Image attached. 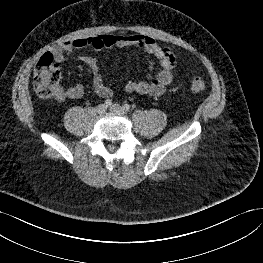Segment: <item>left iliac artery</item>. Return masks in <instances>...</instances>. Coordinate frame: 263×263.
Listing matches in <instances>:
<instances>
[{
  "label": "left iliac artery",
  "mask_w": 263,
  "mask_h": 263,
  "mask_svg": "<svg viewBox=\"0 0 263 263\" xmlns=\"http://www.w3.org/2000/svg\"><path fill=\"white\" fill-rule=\"evenodd\" d=\"M123 109L125 111H129L130 110V105L129 104H124Z\"/></svg>",
  "instance_id": "44dca946"
}]
</instances>
